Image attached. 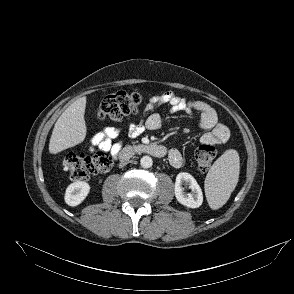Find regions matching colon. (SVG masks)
Masks as SVG:
<instances>
[{
	"mask_svg": "<svg viewBox=\"0 0 294 294\" xmlns=\"http://www.w3.org/2000/svg\"><path fill=\"white\" fill-rule=\"evenodd\" d=\"M142 98L136 92L116 91L107 95L98 109V117L118 120L124 116L138 112ZM216 157L214 145L203 143L195 151V160L198 168L207 171ZM64 169L74 181L88 179L91 175L106 172L112 166L111 158L103 153L97 152L93 155L70 153L63 160Z\"/></svg>",
	"mask_w": 294,
	"mask_h": 294,
	"instance_id": "5ec220e1",
	"label": "colon"
}]
</instances>
